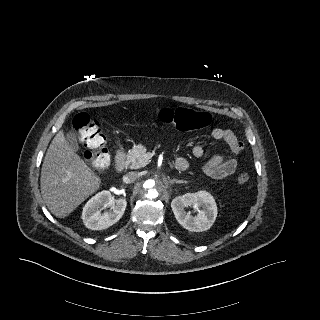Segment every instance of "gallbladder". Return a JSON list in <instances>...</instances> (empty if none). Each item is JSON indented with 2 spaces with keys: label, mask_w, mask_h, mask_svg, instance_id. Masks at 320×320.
I'll return each instance as SVG.
<instances>
[{
  "label": "gallbladder",
  "mask_w": 320,
  "mask_h": 320,
  "mask_svg": "<svg viewBox=\"0 0 320 320\" xmlns=\"http://www.w3.org/2000/svg\"><path fill=\"white\" fill-rule=\"evenodd\" d=\"M66 141H67L68 145H69L72 149H74L75 151L78 150V145H77L76 140H75V134H74V132L70 131V132L67 134Z\"/></svg>",
  "instance_id": "1"
}]
</instances>
